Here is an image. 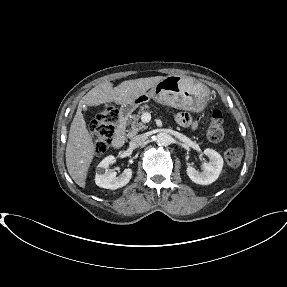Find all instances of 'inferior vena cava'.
<instances>
[{"label": "inferior vena cava", "mask_w": 287, "mask_h": 287, "mask_svg": "<svg viewBox=\"0 0 287 287\" xmlns=\"http://www.w3.org/2000/svg\"><path fill=\"white\" fill-rule=\"evenodd\" d=\"M146 140V136L145 135H137L135 137H133L130 142H129V146L130 148H137L139 146H141Z\"/></svg>", "instance_id": "inferior-vena-cava-1"}]
</instances>
